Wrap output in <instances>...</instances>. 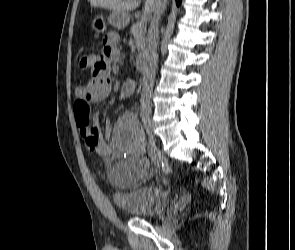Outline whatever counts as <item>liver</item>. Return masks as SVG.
<instances>
[{"label": "liver", "instance_id": "6515ba94", "mask_svg": "<svg viewBox=\"0 0 295 250\" xmlns=\"http://www.w3.org/2000/svg\"><path fill=\"white\" fill-rule=\"evenodd\" d=\"M90 4L93 7H102L118 12H125L135 10L140 0H90ZM155 8V0H146L145 9H149L153 12Z\"/></svg>", "mask_w": 295, "mask_h": 250}]
</instances>
